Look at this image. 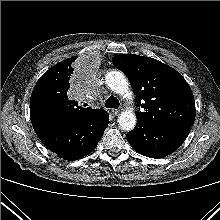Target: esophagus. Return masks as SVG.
<instances>
[{
	"label": "esophagus",
	"mask_w": 220,
	"mask_h": 220,
	"mask_svg": "<svg viewBox=\"0 0 220 220\" xmlns=\"http://www.w3.org/2000/svg\"><path fill=\"white\" fill-rule=\"evenodd\" d=\"M112 114H113L114 116H118V115L120 114V110H118V109H113V110H112Z\"/></svg>",
	"instance_id": "1"
}]
</instances>
